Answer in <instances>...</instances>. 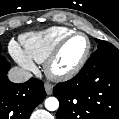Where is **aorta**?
Instances as JSON below:
<instances>
[{
    "label": "aorta",
    "mask_w": 119,
    "mask_h": 119,
    "mask_svg": "<svg viewBox=\"0 0 119 119\" xmlns=\"http://www.w3.org/2000/svg\"><path fill=\"white\" fill-rule=\"evenodd\" d=\"M45 107L49 111H55L59 107V101L55 97H49L45 100Z\"/></svg>",
    "instance_id": "1"
}]
</instances>
